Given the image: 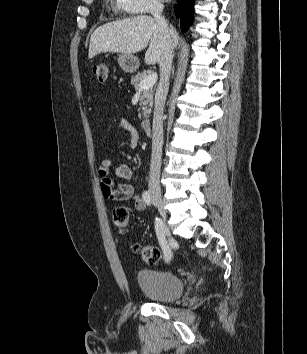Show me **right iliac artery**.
I'll return each instance as SVG.
<instances>
[{"mask_svg":"<svg viewBox=\"0 0 307 354\" xmlns=\"http://www.w3.org/2000/svg\"><path fill=\"white\" fill-rule=\"evenodd\" d=\"M142 197L147 205H151V196L148 191H144ZM155 230L156 235L159 240L160 246L164 253L165 261H170L172 257V252L165 238V230L162 221L159 218H156L155 221Z\"/></svg>","mask_w":307,"mask_h":354,"instance_id":"obj_1","label":"right iliac artery"}]
</instances>
